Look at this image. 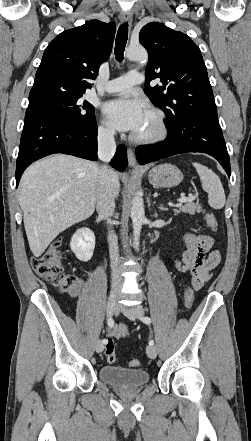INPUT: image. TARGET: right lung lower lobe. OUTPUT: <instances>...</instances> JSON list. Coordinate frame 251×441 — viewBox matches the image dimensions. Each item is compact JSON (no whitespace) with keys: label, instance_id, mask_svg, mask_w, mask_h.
<instances>
[{"label":"right lung lower lobe","instance_id":"1","mask_svg":"<svg viewBox=\"0 0 251 441\" xmlns=\"http://www.w3.org/2000/svg\"><path fill=\"white\" fill-rule=\"evenodd\" d=\"M54 153L97 160L96 120L90 125L78 126L51 114L27 109L16 163V187L31 163ZM110 164L120 171L127 167L124 145L117 147Z\"/></svg>","mask_w":251,"mask_h":441}]
</instances>
